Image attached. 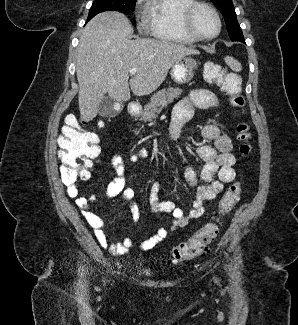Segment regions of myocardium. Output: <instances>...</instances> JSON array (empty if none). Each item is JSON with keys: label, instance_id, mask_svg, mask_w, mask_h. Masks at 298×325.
<instances>
[{"label": "myocardium", "instance_id": "1", "mask_svg": "<svg viewBox=\"0 0 298 325\" xmlns=\"http://www.w3.org/2000/svg\"><path fill=\"white\" fill-rule=\"evenodd\" d=\"M200 8L207 10L215 21L216 31L208 39H202L201 37H199V35L195 32V30L193 29V27L191 25L192 16ZM178 25L184 34L191 37L196 42L202 43V44H206V43H210V42L214 41L219 36L220 31H221V25H220V21H219L217 14L208 4H205L202 2H192V3L188 4L187 6H185L180 11L179 18H178Z\"/></svg>", "mask_w": 298, "mask_h": 325}]
</instances>
